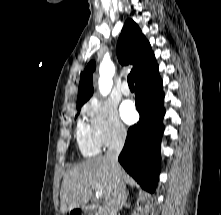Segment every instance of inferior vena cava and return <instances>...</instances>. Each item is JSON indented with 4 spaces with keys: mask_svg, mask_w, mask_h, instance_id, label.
I'll use <instances>...</instances> for the list:
<instances>
[{
    "mask_svg": "<svg viewBox=\"0 0 221 215\" xmlns=\"http://www.w3.org/2000/svg\"><path fill=\"white\" fill-rule=\"evenodd\" d=\"M125 138L126 132L121 131L106 153V158L110 163L115 185L111 197L104 204L102 215H117L125 199V182L122 177L121 166L118 162V156L123 148Z\"/></svg>",
    "mask_w": 221,
    "mask_h": 215,
    "instance_id": "inferior-vena-cava-1",
    "label": "inferior vena cava"
}]
</instances>
